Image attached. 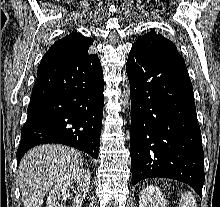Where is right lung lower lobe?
I'll use <instances>...</instances> for the list:
<instances>
[{"mask_svg": "<svg viewBox=\"0 0 220 207\" xmlns=\"http://www.w3.org/2000/svg\"><path fill=\"white\" fill-rule=\"evenodd\" d=\"M103 71L97 54L40 63L21 130L17 163L32 147L60 143L98 157L104 105Z\"/></svg>", "mask_w": 220, "mask_h": 207, "instance_id": "98d812e1", "label": "right lung lower lobe"}]
</instances>
